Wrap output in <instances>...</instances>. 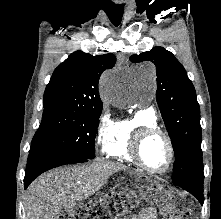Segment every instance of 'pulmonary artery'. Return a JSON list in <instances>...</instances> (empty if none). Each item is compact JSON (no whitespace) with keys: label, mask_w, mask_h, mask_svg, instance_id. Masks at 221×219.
<instances>
[{"label":"pulmonary artery","mask_w":221,"mask_h":219,"mask_svg":"<svg viewBox=\"0 0 221 219\" xmlns=\"http://www.w3.org/2000/svg\"><path fill=\"white\" fill-rule=\"evenodd\" d=\"M147 110L154 112L153 108H148Z\"/></svg>","instance_id":"1"}]
</instances>
